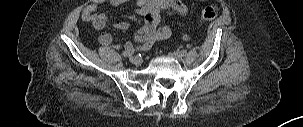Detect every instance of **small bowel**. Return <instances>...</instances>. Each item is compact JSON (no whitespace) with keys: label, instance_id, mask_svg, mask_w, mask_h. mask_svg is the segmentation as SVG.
<instances>
[{"label":"small bowel","instance_id":"c3829d8e","mask_svg":"<svg viewBox=\"0 0 303 127\" xmlns=\"http://www.w3.org/2000/svg\"><path fill=\"white\" fill-rule=\"evenodd\" d=\"M132 0H96L88 5L83 11V18L92 23L94 28L102 29L107 17L99 12V8L108 4L110 6H120ZM136 12L145 17L146 21L135 34V46L131 42L122 44L121 42H113V38L109 33H103L99 41L103 46H109L116 50L124 49L131 51L138 49L140 51L149 50L156 42L165 40L170 35V29L167 26H160L162 14L185 16L188 12L187 6L180 0H134ZM115 26L125 31L129 28V23L122 21Z\"/></svg>","mask_w":303,"mask_h":127}]
</instances>
